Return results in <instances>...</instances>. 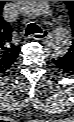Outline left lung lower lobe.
Wrapping results in <instances>:
<instances>
[{
    "label": "left lung lower lobe",
    "mask_w": 74,
    "mask_h": 122,
    "mask_svg": "<svg viewBox=\"0 0 74 122\" xmlns=\"http://www.w3.org/2000/svg\"><path fill=\"white\" fill-rule=\"evenodd\" d=\"M52 61L57 68L63 72L74 75V59H71L68 56H63L58 59H53Z\"/></svg>",
    "instance_id": "left-lung-lower-lobe-1"
}]
</instances>
